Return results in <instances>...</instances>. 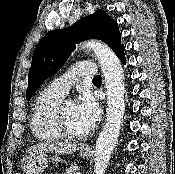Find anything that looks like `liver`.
<instances>
[{"mask_svg":"<svg viewBox=\"0 0 175 174\" xmlns=\"http://www.w3.org/2000/svg\"><path fill=\"white\" fill-rule=\"evenodd\" d=\"M78 150L74 143H40L31 146L26 152L31 155L39 152H52L57 154L70 155Z\"/></svg>","mask_w":175,"mask_h":174,"instance_id":"obj_1","label":"liver"}]
</instances>
